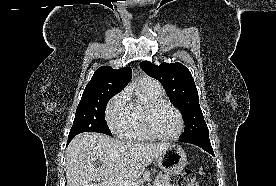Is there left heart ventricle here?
I'll return each instance as SVG.
<instances>
[{
  "label": "left heart ventricle",
  "mask_w": 276,
  "mask_h": 186,
  "mask_svg": "<svg viewBox=\"0 0 276 186\" xmlns=\"http://www.w3.org/2000/svg\"><path fill=\"white\" fill-rule=\"evenodd\" d=\"M152 124L158 135L169 137L178 131L180 122L172 108L162 106L153 114Z\"/></svg>",
  "instance_id": "b2bd125f"
}]
</instances>
